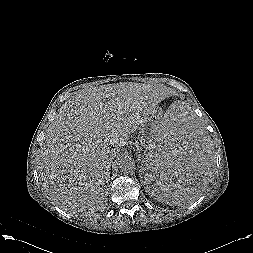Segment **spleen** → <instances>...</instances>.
<instances>
[{
    "label": "spleen",
    "mask_w": 253,
    "mask_h": 253,
    "mask_svg": "<svg viewBox=\"0 0 253 253\" xmlns=\"http://www.w3.org/2000/svg\"><path fill=\"white\" fill-rule=\"evenodd\" d=\"M213 174L211 140L204 123L183 102L159 120L141 159L139 178L159 201L179 203L193 198Z\"/></svg>",
    "instance_id": "obj_1"
}]
</instances>
